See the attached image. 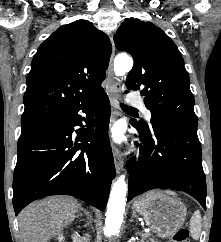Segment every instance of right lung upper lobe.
Returning <instances> with one entry per match:
<instances>
[{
	"label": "right lung upper lobe",
	"mask_w": 221,
	"mask_h": 242,
	"mask_svg": "<svg viewBox=\"0 0 221 242\" xmlns=\"http://www.w3.org/2000/svg\"><path fill=\"white\" fill-rule=\"evenodd\" d=\"M112 46L91 22L61 26L38 48L27 76L21 123L62 112L102 91Z\"/></svg>",
	"instance_id": "right-lung-upper-lobe-1"
}]
</instances>
